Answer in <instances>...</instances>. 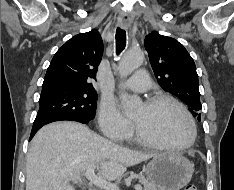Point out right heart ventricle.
I'll list each match as a JSON object with an SVG mask.
<instances>
[{
	"label": "right heart ventricle",
	"instance_id": "1",
	"mask_svg": "<svg viewBox=\"0 0 234 190\" xmlns=\"http://www.w3.org/2000/svg\"><path fill=\"white\" fill-rule=\"evenodd\" d=\"M126 139H128V140H132V139H133V134H132V132L129 133V135L126 137Z\"/></svg>",
	"mask_w": 234,
	"mask_h": 190
}]
</instances>
